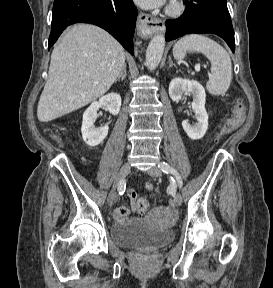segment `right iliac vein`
Listing matches in <instances>:
<instances>
[{
  "mask_svg": "<svg viewBox=\"0 0 273 288\" xmlns=\"http://www.w3.org/2000/svg\"><path fill=\"white\" fill-rule=\"evenodd\" d=\"M130 170H131V164L130 163H125L121 167V169L119 170L118 175H117L116 180H115L114 187L108 196V205L109 206H112L114 203L116 187L121 185L123 179L128 175Z\"/></svg>",
  "mask_w": 273,
  "mask_h": 288,
  "instance_id": "63e3f726",
  "label": "right iliac vein"
}]
</instances>
